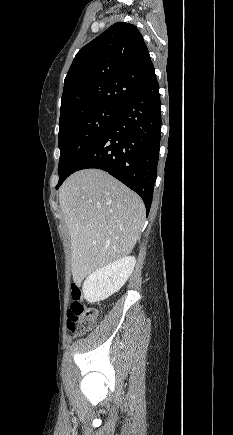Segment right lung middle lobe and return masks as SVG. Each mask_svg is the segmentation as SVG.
Listing matches in <instances>:
<instances>
[{"label":"right lung middle lobe","mask_w":233,"mask_h":435,"mask_svg":"<svg viewBox=\"0 0 233 435\" xmlns=\"http://www.w3.org/2000/svg\"><path fill=\"white\" fill-rule=\"evenodd\" d=\"M119 107L101 106L59 123V181L101 137L119 113Z\"/></svg>","instance_id":"1"}]
</instances>
